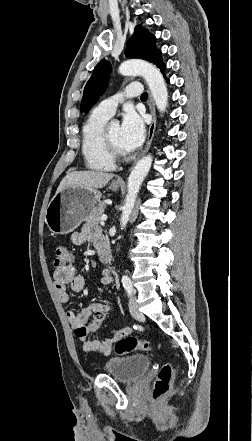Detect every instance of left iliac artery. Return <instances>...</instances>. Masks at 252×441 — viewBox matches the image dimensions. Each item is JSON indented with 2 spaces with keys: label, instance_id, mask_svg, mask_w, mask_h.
Here are the masks:
<instances>
[{
  "label": "left iliac artery",
  "instance_id": "1",
  "mask_svg": "<svg viewBox=\"0 0 252 441\" xmlns=\"http://www.w3.org/2000/svg\"><path fill=\"white\" fill-rule=\"evenodd\" d=\"M122 284L125 290L127 291L128 295H131L132 293V284L131 280L128 276L124 275L122 276Z\"/></svg>",
  "mask_w": 252,
  "mask_h": 441
}]
</instances>
